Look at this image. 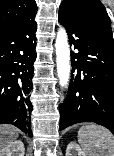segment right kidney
Segmentation results:
<instances>
[{"instance_id": "1", "label": "right kidney", "mask_w": 114, "mask_h": 156, "mask_svg": "<svg viewBox=\"0 0 114 156\" xmlns=\"http://www.w3.org/2000/svg\"><path fill=\"white\" fill-rule=\"evenodd\" d=\"M24 144L20 140H16L8 144L0 151V156H24Z\"/></svg>"}]
</instances>
